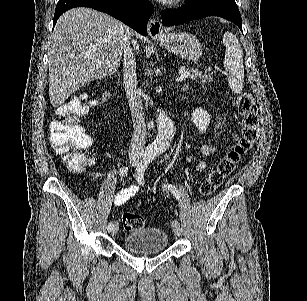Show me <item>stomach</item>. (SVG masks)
I'll list each match as a JSON object with an SVG mask.
<instances>
[{"instance_id":"stomach-1","label":"stomach","mask_w":307,"mask_h":301,"mask_svg":"<svg viewBox=\"0 0 307 301\" xmlns=\"http://www.w3.org/2000/svg\"><path fill=\"white\" fill-rule=\"evenodd\" d=\"M160 46L178 54L187 60H198L202 56L203 48L201 42L194 34L189 32H164L159 36H151Z\"/></svg>"}]
</instances>
